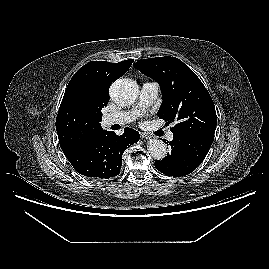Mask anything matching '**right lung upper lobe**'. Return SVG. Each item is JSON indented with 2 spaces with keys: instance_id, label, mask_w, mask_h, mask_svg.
<instances>
[{
  "instance_id": "right-lung-upper-lobe-1",
  "label": "right lung upper lobe",
  "mask_w": 269,
  "mask_h": 269,
  "mask_svg": "<svg viewBox=\"0 0 269 269\" xmlns=\"http://www.w3.org/2000/svg\"><path fill=\"white\" fill-rule=\"evenodd\" d=\"M132 62L91 61L74 74L56 118V130L63 151L103 130L101 109L109 102L110 85L127 72Z\"/></svg>"
}]
</instances>
